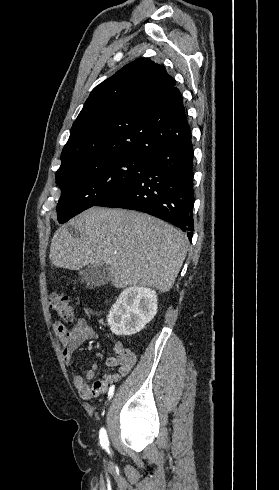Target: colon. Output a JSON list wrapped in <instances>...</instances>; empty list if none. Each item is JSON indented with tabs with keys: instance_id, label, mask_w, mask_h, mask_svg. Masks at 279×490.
Wrapping results in <instances>:
<instances>
[{
	"instance_id": "1",
	"label": "colon",
	"mask_w": 279,
	"mask_h": 490,
	"mask_svg": "<svg viewBox=\"0 0 279 490\" xmlns=\"http://www.w3.org/2000/svg\"><path fill=\"white\" fill-rule=\"evenodd\" d=\"M49 302L60 320L67 323L74 322V308L71 305L68 295L65 292L52 293L49 297Z\"/></svg>"
}]
</instances>
